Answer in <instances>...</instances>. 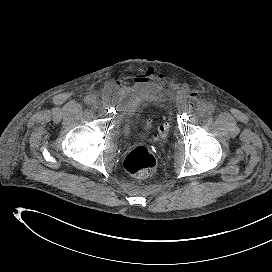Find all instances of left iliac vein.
I'll return each instance as SVG.
<instances>
[{
    "mask_svg": "<svg viewBox=\"0 0 272 272\" xmlns=\"http://www.w3.org/2000/svg\"><path fill=\"white\" fill-rule=\"evenodd\" d=\"M207 112V107L205 105H199L197 107V115L198 116H204Z\"/></svg>",
    "mask_w": 272,
    "mask_h": 272,
    "instance_id": "1",
    "label": "left iliac vein"
}]
</instances>
